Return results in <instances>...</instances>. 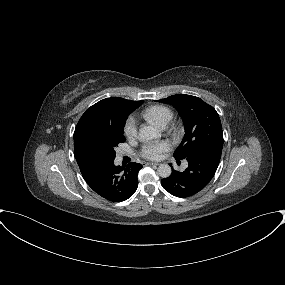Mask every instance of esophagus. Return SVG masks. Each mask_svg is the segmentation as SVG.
<instances>
[{"label":"esophagus","mask_w":285,"mask_h":285,"mask_svg":"<svg viewBox=\"0 0 285 285\" xmlns=\"http://www.w3.org/2000/svg\"><path fill=\"white\" fill-rule=\"evenodd\" d=\"M145 165H156V166H158L160 164L159 163H154V162H146Z\"/></svg>","instance_id":"1"}]
</instances>
